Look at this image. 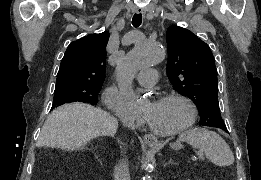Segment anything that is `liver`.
I'll use <instances>...</instances> for the list:
<instances>
[{"mask_svg": "<svg viewBox=\"0 0 261 180\" xmlns=\"http://www.w3.org/2000/svg\"><path fill=\"white\" fill-rule=\"evenodd\" d=\"M118 122L108 112L88 104H66L48 116L41 132L40 146L61 150H82L99 136H114Z\"/></svg>", "mask_w": 261, "mask_h": 180, "instance_id": "1", "label": "liver"}]
</instances>
